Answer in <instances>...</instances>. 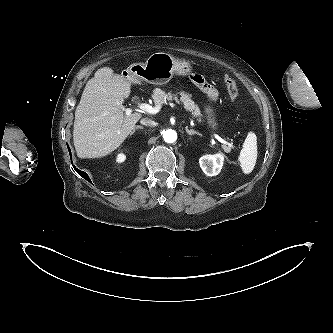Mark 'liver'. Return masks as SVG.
<instances>
[{
    "mask_svg": "<svg viewBox=\"0 0 333 333\" xmlns=\"http://www.w3.org/2000/svg\"><path fill=\"white\" fill-rule=\"evenodd\" d=\"M132 81L102 67L91 78L75 111L74 146L80 158H98L116 150L142 117L121 109Z\"/></svg>",
    "mask_w": 333,
    "mask_h": 333,
    "instance_id": "liver-1",
    "label": "liver"
}]
</instances>
